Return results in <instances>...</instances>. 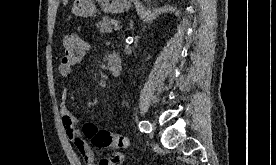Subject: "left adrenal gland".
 I'll return each instance as SVG.
<instances>
[{
    "instance_id": "left-adrenal-gland-1",
    "label": "left adrenal gland",
    "mask_w": 276,
    "mask_h": 165,
    "mask_svg": "<svg viewBox=\"0 0 276 165\" xmlns=\"http://www.w3.org/2000/svg\"><path fill=\"white\" fill-rule=\"evenodd\" d=\"M133 28V21L130 22V29Z\"/></svg>"
}]
</instances>
